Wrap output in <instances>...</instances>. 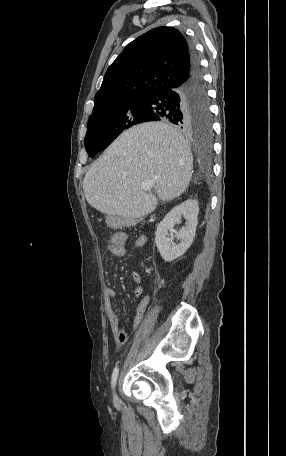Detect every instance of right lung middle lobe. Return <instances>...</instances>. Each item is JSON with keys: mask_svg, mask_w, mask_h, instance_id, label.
I'll use <instances>...</instances> for the list:
<instances>
[{"mask_svg": "<svg viewBox=\"0 0 286 456\" xmlns=\"http://www.w3.org/2000/svg\"><path fill=\"white\" fill-rule=\"evenodd\" d=\"M147 106L142 97H131L108 104L92 113L84 145L90 157L104 150L123 130L146 121ZM190 130L211 136V117L203 123L190 126Z\"/></svg>", "mask_w": 286, "mask_h": 456, "instance_id": "1", "label": "right lung middle lobe"}]
</instances>
